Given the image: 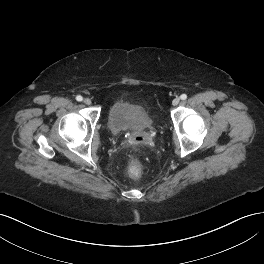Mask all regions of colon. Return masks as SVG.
I'll list each match as a JSON object with an SVG mask.
<instances>
[{"mask_svg":"<svg viewBox=\"0 0 264 264\" xmlns=\"http://www.w3.org/2000/svg\"><path fill=\"white\" fill-rule=\"evenodd\" d=\"M128 174L132 178H139L142 174V166L139 161L133 160L128 166Z\"/></svg>","mask_w":264,"mask_h":264,"instance_id":"1","label":"colon"}]
</instances>
